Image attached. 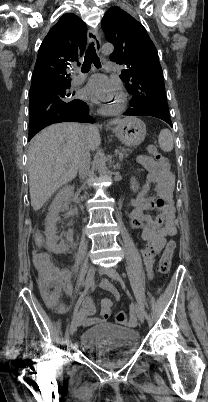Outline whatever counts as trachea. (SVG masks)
Masks as SVG:
<instances>
[{
	"label": "trachea",
	"instance_id": "trachea-1",
	"mask_svg": "<svg viewBox=\"0 0 208 402\" xmlns=\"http://www.w3.org/2000/svg\"><path fill=\"white\" fill-rule=\"evenodd\" d=\"M92 63L97 68L101 67V63H100L99 57H98V55L96 53L94 43H90V45L87 48V51H86L85 57H84V62H83V65L81 67V71L83 73L88 72L90 70V68H91Z\"/></svg>",
	"mask_w": 208,
	"mask_h": 402
}]
</instances>
